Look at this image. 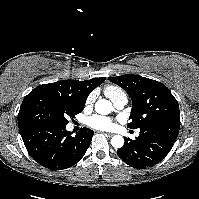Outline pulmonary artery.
<instances>
[{"mask_svg": "<svg viewBox=\"0 0 199 199\" xmlns=\"http://www.w3.org/2000/svg\"><path fill=\"white\" fill-rule=\"evenodd\" d=\"M105 94L107 97L111 99L114 106L118 109L123 108L127 104V101H128L127 96L122 91H115L113 89L106 88Z\"/></svg>", "mask_w": 199, "mask_h": 199, "instance_id": "pulmonary-artery-1", "label": "pulmonary artery"}]
</instances>
